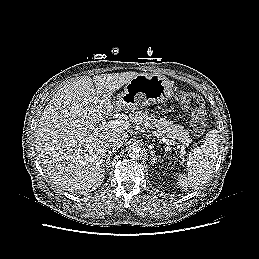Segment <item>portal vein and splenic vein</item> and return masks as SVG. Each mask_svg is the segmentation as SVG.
Wrapping results in <instances>:
<instances>
[{"label": "portal vein and splenic vein", "instance_id": "1", "mask_svg": "<svg viewBox=\"0 0 259 259\" xmlns=\"http://www.w3.org/2000/svg\"><path fill=\"white\" fill-rule=\"evenodd\" d=\"M131 126L130 122L128 120H110L102 127L100 128L101 130H114V129H122V130H127ZM98 131V130H96ZM162 141L167 144V145H178V143L174 140L166 139L163 138ZM181 152H185L184 147L181 146Z\"/></svg>", "mask_w": 259, "mask_h": 259}]
</instances>
